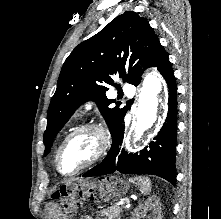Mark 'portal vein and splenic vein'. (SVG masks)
Listing matches in <instances>:
<instances>
[{
    "mask_svg": "<svg viewBox=\"0 0 221 219\" xmlns=\"http://www.w3.org/2000/svg\"><path fill=\"white\" fill-rule=\"evenodd\" d=\"M124 203L123 202H120L118 205H123Z\"/></svg>",
    "mask_w": 221,
    "mask_h": 219,
    "instance_id": "18ae733b",
    "label": "portal vein and splenic vein"
}]
</instances>
